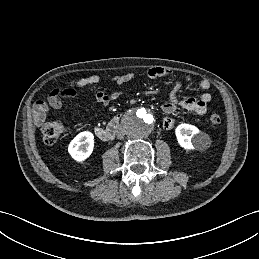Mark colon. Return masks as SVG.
<instances>
[{"instance_id": "colon-1", "label": "colon", "mask_w": 259, "mask_h": 259, "mask_svg": "<svg viewBox=\"0 0 259 259\" xmlns=\"http://www.w3.org/2000/svg\"><path fill=\"white\" fill-rule=\"evenodd\" d=\"M209 123L213 128L221 124V117L217 113H213L209 117ZM64 132V125L59 121L46 122L41 127V133L44 143L53 145L59 141Z\"/></svg>"}]
</instances>
